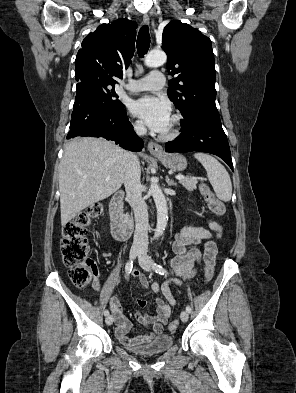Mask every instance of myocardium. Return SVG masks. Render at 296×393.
<instances>
[{
  "label": "myocardium",
  "mask_w": 296,
  "mask_h": 393,
  "mask_svg": "<svg viewBox=\"0 0 296 393\" xmlns=\"http://www.w3.org/2000/svg\"><path fill=\"white\" fill-rule=\"evenodd\" d=\"M171 129L166 133L160 134V139L162 140H172L175 139L180 134L181 127V116L179 114H173Z\"/></svg>",
  "instance_id": "myocardium-1"
}]
</instances>
